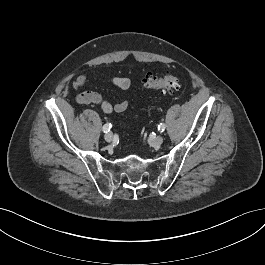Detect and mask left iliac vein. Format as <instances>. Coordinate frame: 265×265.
I'll use <instances>...</instances> for the list:
<instances>
[{
	"label": "left iliac vein",
	"mask_w": 265,
	"mask_h": 265,
	"mask_svg": "<svg viewBox=\"0 0 265 265\" xmlns=\"http://www.w3.org/2000/svg\"><path fill=\"white\" fill-rule=\"evenodd\" d=\"M163 136L161 135H158L152 139H150V144L153 146V147H159L162 143H163Z\"/></svg>",
	"instance_id": "obj_1"
}]
</instances>
